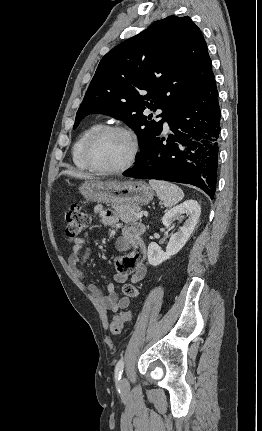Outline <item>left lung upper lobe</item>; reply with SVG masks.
Returning <instances> with one entry per match:
<instances>
[{
  "instance_id": "5c2ea615",
  "label": "left lung upper lobe",
  "mask_w": 262,
  "mask_h": 431,
  "mask_svg": "<svg viewBox=\"0 0 262 431\" xmlns=\"http://www.w3.org/2000/svg\"><path fill=\"white\" fill-rule=\"evenodd\" d=\"M213 80L200 29L189 17L169 16L120 43L101 59L73 128L91 113L113 116L136 131L142 153L150 148L163 125V120H151L143 111L161 108V116L168 121Z\"/></svg>"
}]
</instances>
